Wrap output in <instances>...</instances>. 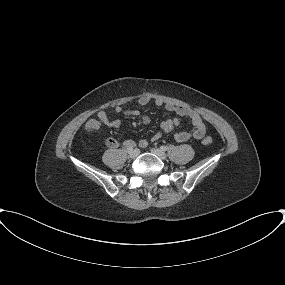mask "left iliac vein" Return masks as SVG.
<instances>
[{"label":"left iliac vein","mask_w":285,"mask_h":285,"mask_svg":"<svg viewBox=\"0 0 285 285\" xmlns=\"http://www.w3.org/2000/svg\"><path fill=\"white\" fill-rule=\"evenodd\" d=\"M151 152L154 153L156 156H158L162 160L166 158V154L158 148H152Z\"/></svg>","instance_id":"1"}]
</instances>
